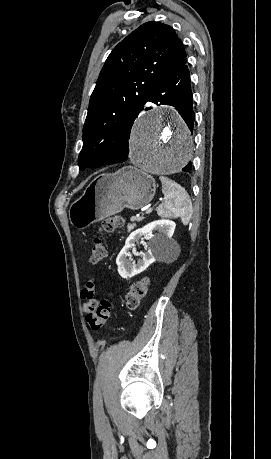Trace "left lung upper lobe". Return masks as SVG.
Returning <instances> with one entry per match:
<instances>
[{"instance_id":"5c2ea615","label":"left lung upper lobe","mask_w":271,"mask_h":459,"mask_svg":"<svg viewBox=\"0 0 271 459\" xmlns=\"http://www.w3.org/2000/svg\"><path fill=\"white\" fill-rule=\"evenodd\" d=\"M186 63L183 43L169 25L147 22L120 42L90 98L80 169L110 164L125 155L131 127L148 97Z\"/></svg>"}]
</instances>
